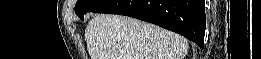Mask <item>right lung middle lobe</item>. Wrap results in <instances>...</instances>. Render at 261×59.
I'll return each mask as SVG.
<instances>
[{
    "instance_id": "obj_1",
    "label": "right lung middle lobe",
    "mask_w": 261,
    "mask_h": 59,
    "mask_svg": "<svg viewBox=\"0 0 261 59\" xmlns=\"http://www.w3.org/2000/svg\"><path fill=\"white\" fill-rule=\"evenodd\" d=\"M108 1L109 0H78L75 5V12L80 19H83L86 12H93Z\"/></svg>"
}]
</instances>
